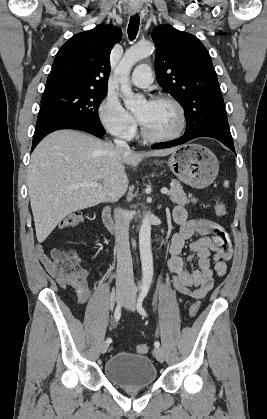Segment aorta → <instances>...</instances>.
Returning a JSON list of instances; mask_svg holds the SVG:
<instances>
[{"label":"aorta","instance_id":"obj_1","mask_svg":"<svg viewBox=\"0 0 267 419\" xmlns=\"http://www.w3.org/2000/svg\"><path fill=\"white\" fill-rule=\"evenodd\" d=\"M153 45L149 42L137 44L128 49L116 68L120 77V90L124 105L129 110H134L145 102L143 95H135L129 84L131 68L141 59L148 57L153 52ZM139 249L142 264V286L149 288L153 278V256L151 251V222L150 214L146 213L139 231Z\"/></svg>","mask_w":267,"mask_h":419}]
</instances>
